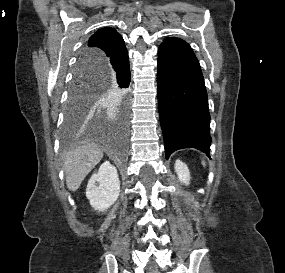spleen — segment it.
<instances>
[{
    "instance_id": "3e777b00",
    "label": "spleen",
    "mask_w": 285,
    "mask_h": 273,
    "mask_svg": "<svg viewBox=\"0 0 285 273\" xmlns=\"http://www.w3.org/2000/svg\"><path fill=\"white\" fill-rule=\"evenodd\" d=\"M202 164L205 166V162L204 161H202Z\"/></svg>"
}]
</instances>
